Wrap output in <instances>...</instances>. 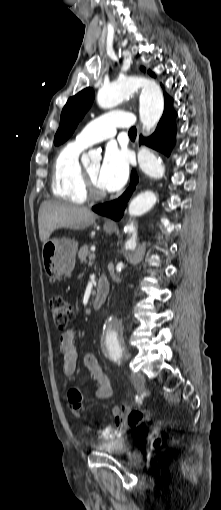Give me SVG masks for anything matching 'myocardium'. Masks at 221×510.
Returning <instances> with one entry per match:
<instances>
[{
  "instance_id": "myocardium-1",
  "label": "myocardium",
  "mask_w": 221,
  "mask_h": 510,
  "mask_svg": "<svg viewBox=\"0 0 221 510\" xmlns=\"http://www.w3.org/2000/svg\"><path fill=\"white\" fill-rule=\"evenodd\" d=\"M83 175V187H84V193L87 199L93 200V201H99L104 199L107 196V193L105 191L99 190L91 178L89 177L86 169L82 170Z\"/></svg>"
}]
</instances>
